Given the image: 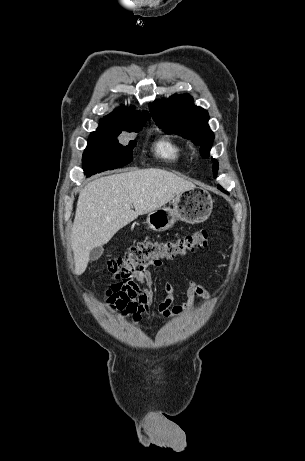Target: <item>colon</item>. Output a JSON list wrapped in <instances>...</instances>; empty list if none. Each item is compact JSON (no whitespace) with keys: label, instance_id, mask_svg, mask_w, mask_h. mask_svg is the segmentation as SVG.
<instances>
[{"label":"colon","instance_id":"obj_1","mask_svg":"<svg viewBox=\"0 0 305 461\" xmlns=\"http://www.w3.org/2000/svg\"><path fill=\"white\" fill-rule=\"evenodd\" d=\"M210 239L206 230H197L176 239L142 241L131 246L126 255L110 259L106 269L113 277L126 280L148 265L205 248Z\"/></svg>","mask_w":305,"mask_h":461}]
</instances>
